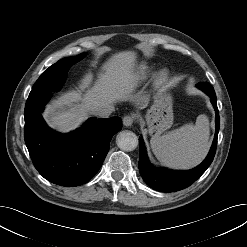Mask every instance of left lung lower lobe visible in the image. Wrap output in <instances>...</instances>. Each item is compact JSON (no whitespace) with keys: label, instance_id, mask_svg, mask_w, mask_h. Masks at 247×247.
I'll list each match as a JSON object with an SVG mask.
<instances>
[{"label":"left lung lower lobe","instance_id":"left-lung-lower-lobe-1","mask_svg":"<svg viewBox=\"0 0 247 247\" xmlns=\"http://www.w3.org/2000/svg\"><path fill=\"white\" fill-rule=\"evenodd\" d=\"M196 86L211 97V103L213 104L216 113V132L211 149L205 160L194 169L188 171H174L163 168L158 169L153 167L149 163L144 141L142 138H139V171L145 183L155 190L161 192H174L182 190L190 186L193 182H195L206 171V169L210 166L211 162L213 161L216 152L217 137L220 123L219 112L216 102V94L213 87L208 82L199 83Z\"/></svg>","mask_w":247,"mask_h":247}]
</instances>
